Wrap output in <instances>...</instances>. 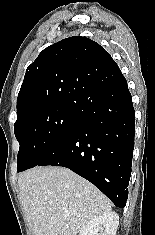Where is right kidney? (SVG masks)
<instances>
[{
    "mask_svg": "<svg viewBox=\"0 0 155 235\" xmlns=\"http://www.w3.org/2000/svg\"><path fill=\"white\" fill-rule=\"evenodd\" d=\"M119 216L115 212L102 214L88 222L79 235H116Z\"/></svg>",
    "mask_w": 155,
    "mask_h": 235,
    "instance_id": "right-kidney-1",
    "label": "right kidney"
}]
</instances>
